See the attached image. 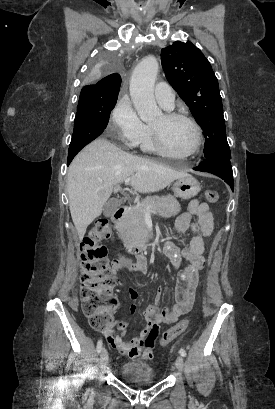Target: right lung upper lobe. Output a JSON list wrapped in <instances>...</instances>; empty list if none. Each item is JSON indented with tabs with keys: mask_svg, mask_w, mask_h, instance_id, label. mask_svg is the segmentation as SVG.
I'll use <instances>...</instances> for the list:
<instances>
[{
	"mask_svg": "<svg viewBox=\"0 0 275 409\" xmlns=\"http://www.w3.org/2000/svg\"><path fill=\"white\" fill-rule=\"evenodd\" d=\"M120 85L121 76L113 73L100 80L99 85L84 86L80 95L92 98H118Z\"/></svg>",
	"mask_w": 275,
	"mask_h": 409,
	"instance_id": "cb5924a9",
	"label": "right lung upper lobe"
}]
</instances>
